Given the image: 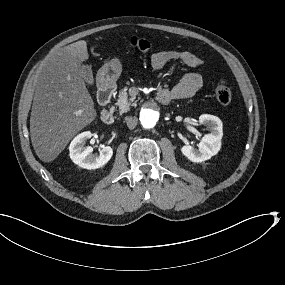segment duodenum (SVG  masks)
I'll list each match as a JSON object with an SVG mask.
<instances>
[{
    "mask_svg": "<svg viewBox=\"0 0 285 285\" xmlns=\"http://www.w3.org/2000/svg\"><path fill=\"white\" fill-rule=\"evenodd\" d=\"M114 90L115 85L110 81H102L99 85L98 100L99 103L103 106V109L100 113V118L106 124L112 123L114 118V111L110 107V101ZM158 97L162 103H168L171 100L170 94L165 91H160Z\"/></svg>",
    "mask_w": 285,
    "mask_h": 285,
    "instance_id": "duodenum-1",
    "label": "duodenum"
}]
</instances>
